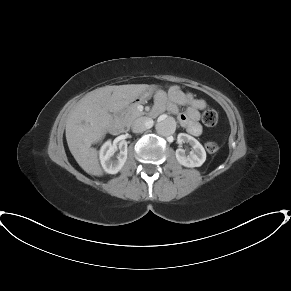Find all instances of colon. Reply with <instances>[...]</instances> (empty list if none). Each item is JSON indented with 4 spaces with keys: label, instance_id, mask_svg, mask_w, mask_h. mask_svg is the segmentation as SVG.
I'll return each mask as SVG.
<instances>
[{
    "label": "colon",
    "instance_id": "colon-1",
    "mask_svg": "<svg viewBox=\"0 0 291 291\" xmlns=\"http://www.w3.org/2000/svg\"><path fill=\"white\" fill-rule=\"evenodd\" d=\"M202 121L206 126H215L219 121V115L214 109H207L202 114ZM208 153L213 154L217 152L219 146L214 141H208L205 144Z\"/></svg>",
    "mask_w": 291,
    "mask_h": 291
}]
</instances>
